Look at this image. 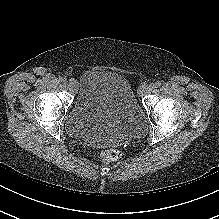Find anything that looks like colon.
I'll list each match as a JSON object with an SVG mask.
<instances>
[{
	"label": "colon",
	"mask_w": 219,
	"mask_h": 219,
	"mask_svg": "<svg viewBox=\"0 0 219 219\" xmlns=\"http://www.w3.org/2000/svg\"><path fill=\"white\" fill-rule=\"evenodd\" d=\"M122 153L116 149H109L101 152V158L105 162H116L120 160Z\"/></svg>",
	"instance_id": "colon-1"
}]
</instances>
